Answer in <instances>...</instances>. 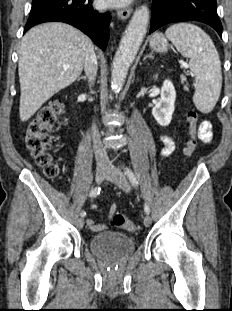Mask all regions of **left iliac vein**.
Segmentation results:
<instances>
[{"label": "left iliac vein", "instance_id": "left-iliac-vein-1", "mask_svg": "<svg viewBox=\"0 0 232 311\" xmlns=\"http://www.w3.org/2000/svg\"><path fill=\"white\" fill-rule=\"evenodd\" d=\"M107 179L115 183L121 190L128 193L130 191V184L126 176L116 167L110 166ZM152 223L151 217L147 214L144 217V225L149 227Z\"/></svg>", "mask_w": 232, "mask_h": 311}]
</instances>
